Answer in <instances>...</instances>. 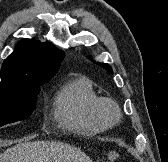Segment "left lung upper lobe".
<instances>
[{
    "label": "left lung upper lobe",
    "mask_w": 168,
    "mask_h": 162,
    "mask_svg": "<svg viewBox=\"0 0 168 162\" xmlns=\"http://www.w3.org/2000/svg\"><path fill=\"white\" fill-rule=\"evenodd\" d=\"M92 60V59H91ZM93 61V60H92ZM95 62V61H93ZM96 64L100 65L101 67H103L106 71H108L109 73H113L111 67L108 65V64H104V63H99V62H96Z\"/></svg>",
    "instance_id": "5c2ea615"
}]
</instances>
